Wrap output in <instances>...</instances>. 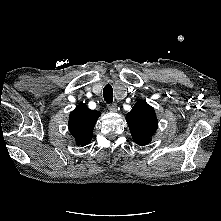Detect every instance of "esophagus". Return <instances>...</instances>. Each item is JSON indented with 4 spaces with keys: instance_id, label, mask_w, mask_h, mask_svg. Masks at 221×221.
<instances>
[{
    "instance_id": "obj_1",
    "label": "esophagus",
    "mask_w": 221,
    "mask_h": 221,
    "mask_svg": "<svg viewBox=\"0 0 221 221\" xmlns=\"http://www.w3.org/2000/svg\"><path fill=\"white\" fill-rule=\"evenodd\" d=\"M108 110L110 112H117V104L113 103V104H109L108 105Z\"/></svg>"
}]
</instances>
